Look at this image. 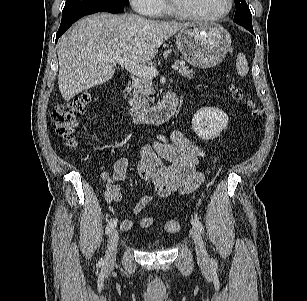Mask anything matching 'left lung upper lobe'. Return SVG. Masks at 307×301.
<instances>
[{
  "label": "left lung upper lobe",
  "instance_id": "5c2ea615",
  "mask_svg": "<svg viewBox=\"0 0 307 301\" xmlns=\"http://www.w3.org/2000/svg\"><path fill=\"white\" fill-rule=\"evenodd\" d=\"M236 12L234 22L243 27H252V14L245 0H234Z\"/></svg>",
  "mask_w": 307,
  "mask_h": 301
}]
</instances>
